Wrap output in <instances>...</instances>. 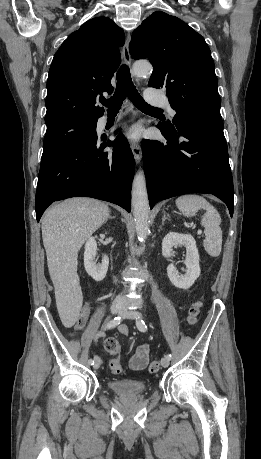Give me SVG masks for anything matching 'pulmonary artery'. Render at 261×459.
<instances>
[{
    "label": "pulmonary artery",
    "instance_id": "obj_1",
    "mask_svg": "<svg viewBox=\"0 0 261 459\" xmlns=\"http://www.w3.org/2000/svg\"><path fill=\"white\" fill-rule=\"evenodd\" d=\"M145 97H146V100L152 104V105H155V106H164V107H167L170 115L174 116L175 115V111L170 107V105L168 104L167 100L158 95L157 93L151 91V90H147L145 92ZM108 121V117L107 116H103L101 119H100V124L101 125H104L106 124Z\"/></svg>",
    "mask_w": 261,
    "mask_h": 459
}]
</instances>
